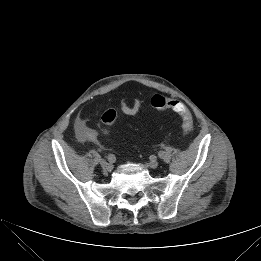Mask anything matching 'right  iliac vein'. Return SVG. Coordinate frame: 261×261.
<instances>
[{
	"label": "right iliac vein",
	"instance_id": "1",
	"mask_svg": "<svg viewBox=\"0 0 261 261\" xmlns=\"http://www.w3.org/2000/svg\"><path fill=\"white\" fill-rule=\"evenodd\" d=\"M100 165L107 172H109V171H111L113 169V165L108 163L105 160H100Z\"/></svg>",
	"mask_w": 261,
	"mask_h": 261
}]
</instances>
